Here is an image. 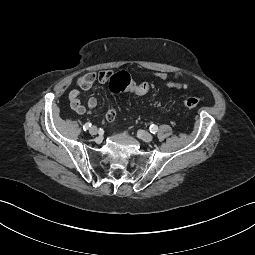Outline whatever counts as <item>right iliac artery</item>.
Returning a JSON list of instances; mask_svg holds the SVG:
<instances>
[{
	"instance_id": "right-iliac-artery-1",
	"label": "right iliac artery",
	"mask_w": 255,
	"mask_h": 255,
	"mask_svg": "<svg viewBox=\"0 0 255 255\" xmlns=\"http://www.w3.org/2000/svg\"><path fill=\"white\" fill-rule=\"evenodd\" d=\"M91 127V123L87 122L83 125V130L86 131Z\"/></svg>"
}]
</instances>
